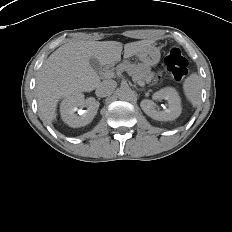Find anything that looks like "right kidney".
Here are the masks:
<instances>
[{
  "label": "right kidney",
  "instance_id": "obj_1",
  "mask_svg": "<svg viewBox=\"0 0 232 232\" xmlns=\"http://www.w3.org/2000/svg\"><path fill=\"white\" fill-rule=\"evenodd\" d=\"M100 103L95 98L85 100L80 92L64 96L60 103V114L62 120L73 128H78L89 124L97 114ZM87 107V110H82ZM78 111V114L75 112Z\"/></svg>",
  "mask_w": 232,
  "mask_h": 232
}]
</instances>
